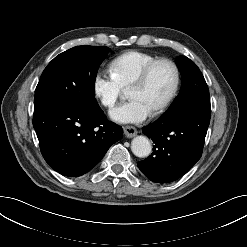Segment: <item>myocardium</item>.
I'll use <instances>...</instances> for the list:
<instances>
[{"label": "myocardium", "mask_w": 247, "mask_h": 247, "mask_svg": "<svg viewBox=\"0 0 247 247\" xmlns=\"http://www.w3.org/2000/svg\"><path fill=\"white\" fill-rule=\"evenodd\" d=\"M162 64L168 65L172 69L174 75L173 83L165 98L151 110L152 113H158L164 110L176 96L180 85V71L178 66L170 59H166V58L157 59L151 62L149 65H147L127 88L128 90H130L133 88H138L143 86L148 81L154 69Z\"/></svg>", "instance_id": "obj_1"}]
</instances>
